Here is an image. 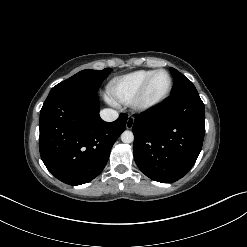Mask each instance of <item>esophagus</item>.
<instances>
[{
	"label": "esophagus",
	"mask_w": 247,
	"mask_h": 247,
	"mask_svg": "<svg viewBox=\"0 0 247 247\" xmlns=\"http://www.w3.org/2000/svg\"><path fill=\"white\" fill-rule=\"evenodd\" d=\"M133 125H134V118L129 116L126 122V128L132 129Z\"/></svg>",
	"instance_id": "esophagus-1"
}]
</instances>
